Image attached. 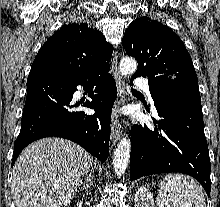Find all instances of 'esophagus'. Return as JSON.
I'll list each match as a JSON object with an SVG mask.
<instances>
[{"label": "esophagus", "mask_w": 220, "mask_h": 207, "mask_svg": "<svg viewBox=\"0 0 220 207\" xmlns=\"http://www.w3.org/2000/svg\"><path fill=\"white\" fill-rule=\"evenodd\" d=\"M112 70H113V77H114V80L117 86V98H116V101L113 107L114 117H113L112 126H111V141H112V144L115 145L121 135V125L119 123V120L117 119V113L120 107L124 104L125 96H126L124 81L118 70L117 53H115L113 60H112Z\"/></svg>", "instance_id": "esophagus-1"}]
</instances>
